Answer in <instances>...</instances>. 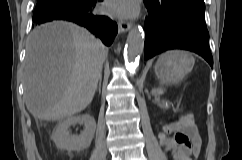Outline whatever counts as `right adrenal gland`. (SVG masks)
<instances>
[{"instance_id":"1","label":"right adrenal gland","mask_w":242,"mask_h":160,"mask_svg":"<svg viewBox=\"0 0 242 160\" xmlns=\"http://www.w3.org/2000/svg\"><path fill=\"white\" fill-rule=\"evenodd\" d=\"M101 83H102V77L99 79V85H98V92L101 93Z\"/></svg>"}]
</instances>
